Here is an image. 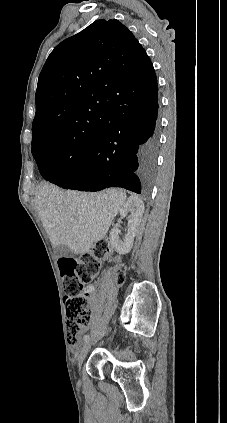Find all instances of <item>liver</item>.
<instances>
[{"label":"liver","mask_w":227,"mask_h":423,"mask_svg":"<svg viewBox=\"0 0 227 423\" xmlns=\"http://www.w3.org/2000/svg\"><path fill=\"white\" fill-rule=\"evenodd\" d=\"M127 196L123 190L64 192L52 184L38 188L34 202L53 247L87 253L108 229Z\"/></svg>","instance_id":"6515ba94"}]
</instances>
